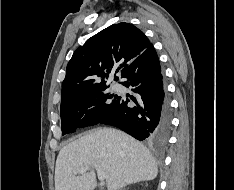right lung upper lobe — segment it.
I'll return each instance as SVG.
<instances>
[{
    "label": "right lung upper lobe",
    "instance_id": "obj_1",
    "mask_svg": "<svg viewBox=\"0 0 234 190\" xmlns=\"http://www.w3.org/2000/svg\"><path fill=\"white\" fill-rule=\"evenodd\" d=\"M149 39L134 25L113 24L89 38L73 54L62 83L61 103L106 87L105 78L127 67L149 46ZM114 80L118 77L114 76Z\"/></svg>",
    "mask_w": 234,
    "mask_h": 190
}]
</instances>
